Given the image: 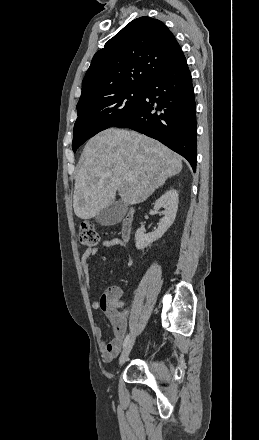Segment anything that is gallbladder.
<instances>
[{"instance_id": "1", "label": "gallbladder", "mask_w": 259, "mask_h": 440, "mask_svg": "<svg viewBox=\"0 0 259 440\" xmlns=\"http://www.w3.org/2000/svg\"><path fill=\"white\" fill-rule=\"evenodd\" d=\"M125 213L126 205L121 201H117L100 211L95 219L102 226H113L122 220Z\"/></svg>"}]
</instances>
